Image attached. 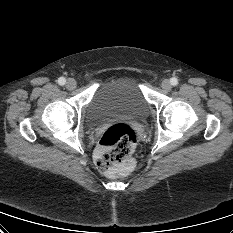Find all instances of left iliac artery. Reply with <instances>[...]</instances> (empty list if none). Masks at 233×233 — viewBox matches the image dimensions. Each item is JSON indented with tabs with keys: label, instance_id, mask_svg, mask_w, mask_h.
I'll return each mask as SVG.
<instances>
[{
	"label": "left iliac artery",
	"instance_id": "44dca946",
	"mask_svg": "<svg viewBox=\"0 0 233 233\" xmlns=\"http://www.w3.org/2000/svg\"><path fill=\"white\" fill-rule=\"evenodd\" d=\"M171 85L176 86L178 84V79L173 77L170 79Z\"/></svg>",
	"mask_w": 233,
	"mask_h": 233
}]
</instances>
